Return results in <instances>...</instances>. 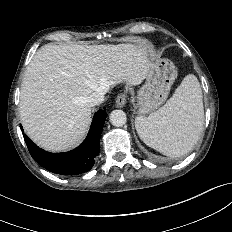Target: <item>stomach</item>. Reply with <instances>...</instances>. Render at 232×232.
I'll use <instances>...</instances> for the list:
<instances>
[{
	"mask_svg": "<svg viewBox=\"0 0 232 232\" xmlns=\"http://www.w3.org/2000/svg\"><path fill=\"white\" fill-rule=\"evenodd\" d=\"M176 79V69L169 59L152 62L145 84L137 92L139 114H148L159 108L168 97Z\"/></svg>",
	"mask_w": 232,
	"mask_h": 232,
	"instance_id": "1",
	"label": "stomach"
}]
</instances>
